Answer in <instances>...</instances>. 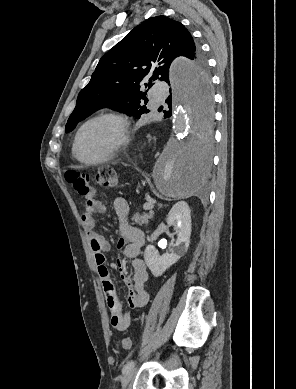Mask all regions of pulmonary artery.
I'll list each match as a JSON object with an SVG mask.
<instances>
[{
    "instance_id": "1",
    "label": "pulmonary artery",
    "mask_w": 296,
    "mask_h": 389,
    "mask_svg": "<svg viewBox=\"0 0 296 389\" xmlns=\"http://www.w3.org/2000/svg\"><path fill=\"white\" fill-rule=\"evenodd\" d=\"M153 100L156 104H159L165 100L166 97V89L160 85H154L151 89Z\"/></svg>"
}]
</instances>
